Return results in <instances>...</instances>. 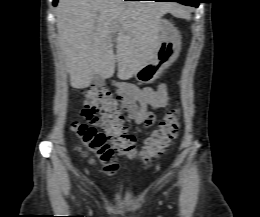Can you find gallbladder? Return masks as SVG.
Masks as SVG:
<instances>
[{"label": "gallbladder", "mask_w": 260, "mask_h": 217, "mask_svg": "<svg viewBox=\"0 0 260 217\" xmlns=\"http://www.w3.org/2000/svg\"><path fill=\"white\" fill-rule=\"evenodd\" d=\"M91 83L97 87H101L104 85V80L102 77H100L99 75L95 74L92 77V81Z\"/></svg>", "instance_id": "obj_1"}]
</instances>
